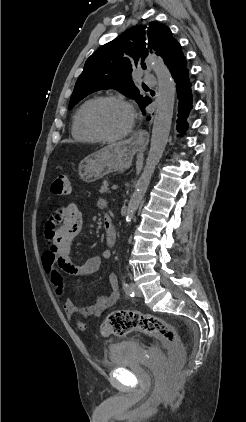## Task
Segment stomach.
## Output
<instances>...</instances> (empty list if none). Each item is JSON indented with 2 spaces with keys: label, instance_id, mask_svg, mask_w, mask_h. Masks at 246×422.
<instances>
[{
  "label": "stomach",
  "instance_id": "stomach-1",
  "mask_svg": "<svg viewBox=\"0 0 246 422\" xmlns=\"http://www.w3.org/2000/svg\"><path fill=\"white\" fill-rule=\"evenodd\" d=\"M133 155L134 149L125 142L107 145L81 161L79 176L84 182L91 183L109 173L126 170L131 165Z\"/></svg>",
  "mask_w": 246,
  "mask_h": 422
}]
</instances>
